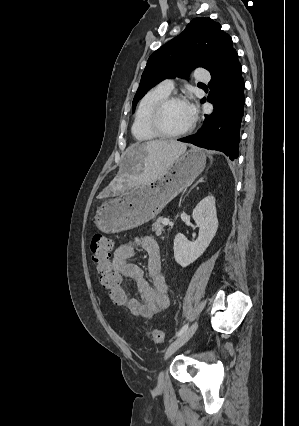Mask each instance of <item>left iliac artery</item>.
<instances>
[{
    "instance_id": "44dca946",
    "label": "left iliac artery",
    "mask_w": 299,
    "mask_h": 426,
    "mask_svg": "<svg viewBox=\"0 0 299 426\" xmlns=\"http://www.w3.org/2000/svg\"><path fill=\"white\" fill-rule=\"evenodd\" d=\"M188 329V324H185L175 335L176 337H179L180 335H182L186 330Z\"/></svg>"
}]
</instances>
